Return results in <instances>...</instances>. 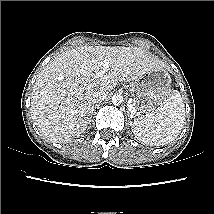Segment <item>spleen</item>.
<instances>
[{
	"mask_svg": "<svg viewBox=\"0 0 214 214\" xmlns=\"http://www.w3.org/2000/svg\"><path fill=\"white\" fill-rule=\"evenodd\" d=\"M185 121V108L180 93L173 90L155 114L133 121L132 132L142 143L162 146L175 140Z\"/></svg>",
	"mask_w": 214,
	"mask_h": 214,
	"instance_id": "obj_1",
	"label": "spleen"
}]
</instances>
